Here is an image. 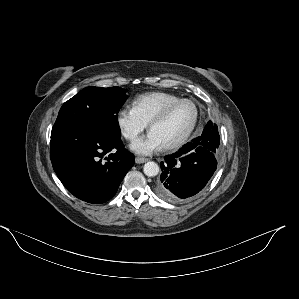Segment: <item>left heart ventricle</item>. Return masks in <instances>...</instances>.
<instances>
[{
  "instance_id": "b2bd125f",
  "label": "left heart ventricle",
  "mask_w": 299,
  "mask_h": 299,
  "mask_svg": "<svg viewBox=\"0 0 299 299\" xmlns=\"http://www.w3.org/2000/svg\"><path fill=\"white\" fill-rule=\"evenodd\" d=\"M194 114V107L190 103H182L164 121L155 125L151 132L156 135L163 146L168 145L187 131L194 119Z\"/></svg>"
}]
</instances>
